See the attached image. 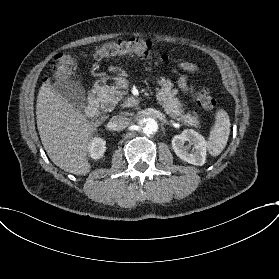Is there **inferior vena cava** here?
<instances>
[{
    "instance_id": "obj_1",
    "label": "inferior vena cava",
    "mask_w": 279,
    "mask_h": 279,
    "mask_svg": "<svg viewBox=\"0 0 279 279\" xmlns=\"http://www.w3.org/2000/svg\"><path fill=\"white\" fill-rule=\"evenodd\" d=\"M130 124V121L127 116L116 115L111 118L108 123L109 129L113 131H122L127 128Z\"/></svg>"
}]
</instances>
